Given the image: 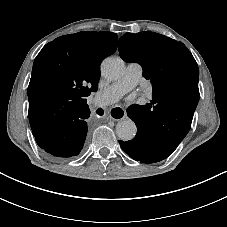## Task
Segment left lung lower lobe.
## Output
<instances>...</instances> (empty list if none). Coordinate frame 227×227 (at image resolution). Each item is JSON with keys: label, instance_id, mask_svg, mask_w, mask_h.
Segmentation results:
<instances>
[{"label": "left lung lower lobe", "instance_id": "1", "mask_svg": "<svg viewBox=\"0 0 227 227\" xmlns=\"http://www.w3.org/2000/svg\"><path fill=\"white\" fill-rule=\"evenodd\" d=\"M131 105L127 115L135 122L137 134L130 141H119L123 151L142 163L167 158L187 135L196 106L183 102L151 101Z\"/></svg>", "mask_w": 227, "mask_h": 227}]
</instances>
